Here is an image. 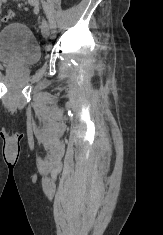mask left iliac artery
<instances>
[{"instance_id": "obj_1", "label": "left iliac artery", "mask_w": 163, "mask_h": 235, "mask_svg": "<svg viewBox=\"0 0 163 235\" xmlns=\"http://www.w3.org/2000/svg\"><path fill=\"white\" fill-rule=\"evenodd\" d=\"M42 3H43V8H44V11H45V14L48 18V21H49V24H50V27L51 28H56V21L54 19V16L48 6V4L42 0Z\"/></svg>"}]
</instances>
